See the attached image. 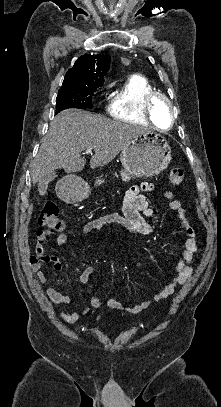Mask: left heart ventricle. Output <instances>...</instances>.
<instances>
[{"label":"left heart ventricle","mask_w":221,"mask_h":407,"mask_svg":"<svg viewBox=\"0 0 221 407\" xmlns=\"http://www.w3.org/2000/svg\"><path fill=\"white\" fill-rule=\"evenodd\" d=\"M153 116L157 127L168 128L170 124L171 113L167 104L163 101H158L153 106Z\"/></svg>","instance_id":"obj_1"}]
</instances>
